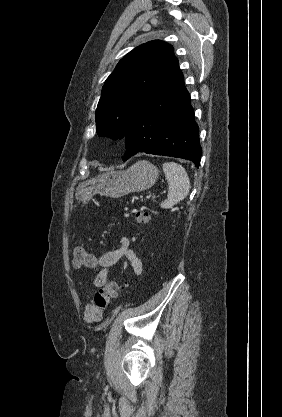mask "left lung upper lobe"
<instances>
[{
    "instance_id": "5c2ea615",
    "label": "left lung upper lobe",
    "mask_w": 282,
    "mask_h": 417,
    "mask_svg": "<svg viewBox=\"0 0 282 417\" xmlns=\"http://www.w3.org/2000/svg\"><path fill=\"white\" fill-rule=\"evenodd\" d=\"M177 62L173 47L160 40L144 43L124 56L102 89L96 110L99 136L124 138L135 110Z\"/></svg>"
}]
</instances>
